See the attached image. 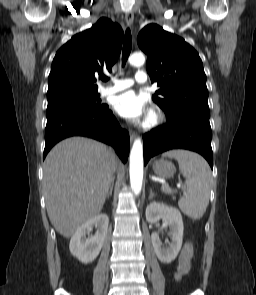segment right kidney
<instances>
[{"label": "right kidney", "mask_w": 256, "mask_h": 295, "mask_svg": "<svg viewBox=\"0 0 256 295\" xmlns=\"http://www.w3.org/2000/svg\"><path fill=\"white\" fill-rule=\"evenodd\" d=\"M109 218L106 214H99L82 224L71 237L70 253L80 262L88 264L99 255L108 230ZM93 227L97 229L94 236L87 237Z\"/></svg>", "instance_id": "1"}]
</instances>
